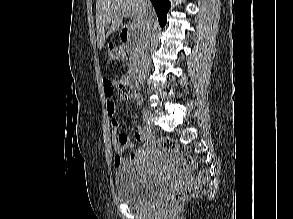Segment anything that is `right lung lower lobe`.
<instances>
[{
	"mask_svg": "<svg viewBox=\"0 0 293 219\" xmlns=\"http://www.w3.org/2000/svg\"><path fill=\"white\" fill-rule=\"evenodd\" d=\"M158 15V21L160 26H164L166 23V15L170 8L169 0H150Z\"/></svg>",
	"mask_w": 293,
	"mask_h": 219,
	"instance_id": "98d812e1",
	"label": "right lung lower lobe"
}]
</instances>
